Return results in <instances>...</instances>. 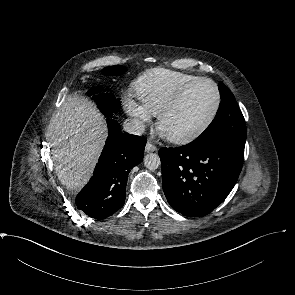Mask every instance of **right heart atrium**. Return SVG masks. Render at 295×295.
Instances as JSON below:
<instances>
[{
	"instance_id": "right-heart-atrium-1",
	"label": "right heart atrium",
	"mask_w": 295,
	"mask_h": 295,
	"mask_svg": "<svg viewBox=\"0 0 295 295\" xmlns=\"http://www.w3.org/2000/svg\"><path fill=\"white\" fill-rule=\"evenodd\" d=\"M126 106L128 114L136 119L137 125L140 129H143L151 122L153 114L143 103L128 98Z\"/></svg>"
}]
</instances>
